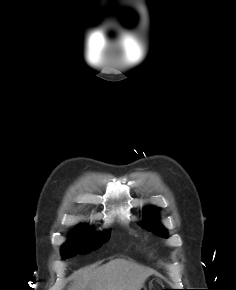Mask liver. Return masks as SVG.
I'll use <instances>...</instances> for the list:
<instances>
[{
	"mask_svg": "<svg viewBox=\"0 0 236 290\" xmlns=\"http://www.w3.org/2000/svg\"><path fill=\"white\" fill-rule=\"evenodd\" d=\"M149 275L135 262L114 259L100 267L78 271L68 290H140Z\"/></svg>",
	"mask_w": 236,
	"mask_h": 290,
	"instance_id": "6515ba94",
	"label": "liver"
}]
</instances>
